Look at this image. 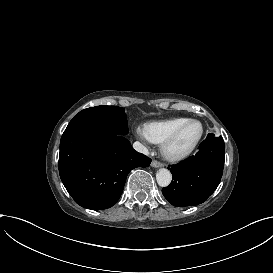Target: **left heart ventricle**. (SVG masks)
I'll list each match as a JSON object with an SVG mask.
<instances>
[{
  "instance_id": "obj_1",
  "label": "left heart ventricle",
  "mask_w": 273,
  "mask_h": 273,
  "mask_svg": "<svg viewBox=\"0 0 273 273\" xmlns=\"http://www.w3.org/2000/svg\"><path fill=\"white\" fill-rule=\"evenodd\" d=\"M202 127L199 123L194 122L189 124L183 131L179 141L178 148L185 149L189 147L195 139L200 135Z\"/></svg>"
}]
</instances>
